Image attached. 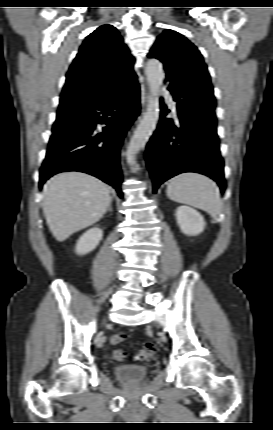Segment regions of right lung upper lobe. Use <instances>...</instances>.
<instances>
[{
    "label": "right lung upper lobe",
    "mask_w": 273,
    "mask_h": 430,
    "mask_svg": "<svg viewBox=\"0 0 273 430\" xmlns=\"http://www.w3.org/2000/svg\"><path fill=\"white\" fill-rule=\"evenodd\" d=\"M134 58L112 25L86 37L66 75L60 105L88 107L118 90L137 85Z\"/></svg>",
    "instance_id": "1"
}]
</instances>
